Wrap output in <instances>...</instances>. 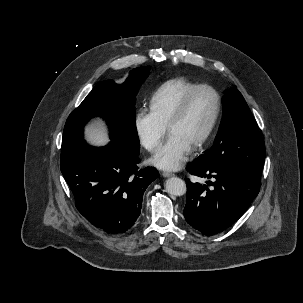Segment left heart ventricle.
Returning a JSON list of instances; mask_svg holds the SVG:
<instances>
[{
    "label": "left heart ventricle",
    "mask_w": 303,
    "mask_h": 303,
    "mask_svg": "<svg viewBox=\"0 0 303 303\" xmlns=\"http://www.w3.org/2000/svg\"><path fill=\"white\" fill-rule=\"evenodd\" d=\"M215 105L214 94L206 89L200 90L192 98L185 115L170 128V133L179 134L193 146L207 129Z\"/></svg>",
    "instance_id": "1"
}]
</instances>
